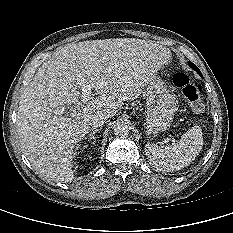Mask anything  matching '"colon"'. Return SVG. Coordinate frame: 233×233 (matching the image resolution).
<instances>
[{
	"label": "colon",
	"mask_w": 233,
	"mask_h": 233,
	"mask_svg": "<svg viewBox=\"0 0 233 233\" xmlns=\"http://www.w3.org/2000/svg\"><path fill=\"white\" fill-rule=\"evenodd\" d=\"M173 83L180 90L181 96L194 112L204 110L202 91L198 85L193 83L187 74L176 72L173 75Z\"/></svg>",
	"instance_id": "colon-1"
}]
</instances>
